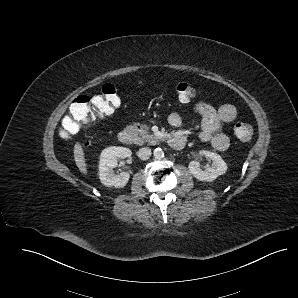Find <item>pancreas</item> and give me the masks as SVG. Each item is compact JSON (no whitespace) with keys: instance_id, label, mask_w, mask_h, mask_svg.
Wrapping results in <instances>:
<instances>
[{"instance_id":"cf45deb5","label":"pancreas","mask_w":298,"mask_h":298,"mask_svg":"<svg viewBox=\"0 0 298 298\" xmlns=\"http://www.w3.org/2000/svg\"><path fill=\"white\" fill-rule=\"evenodd\" d=\"M133 134L135 135V144L142 145L143 143H148L149 145H156L160 140L157 136H154L149 133V127L147 125H140L139 127L135 126H127Z\"/></svg>"}]
</instances>
